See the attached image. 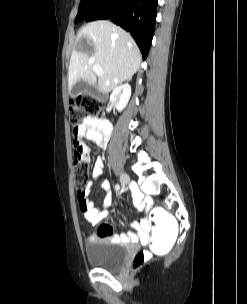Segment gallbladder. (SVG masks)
<instances>
[{"mask_svg":"<svg viewBox=\"0 0 247 304\" xmlns=\"http://www.w3.org/2000/svg\"><path fill=\"white\" fill-rule=\"evenodd\" d=\"M89 89L90 88H89L88 84L84 80L80 79L73 85V87L70 91V94L72 96H77V95L87 92Z\"/></svg>","mask_w":247,"mask_h":304,"instance_id":"gallbladder-1","label":"gallbladder"}]
</instances>
